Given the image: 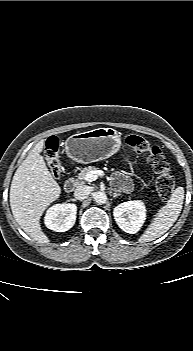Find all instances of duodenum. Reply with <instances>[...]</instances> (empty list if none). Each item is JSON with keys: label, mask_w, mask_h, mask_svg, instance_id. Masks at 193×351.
Returning <instances> with one entry per match:
<instances>
[{"label": "duodenum", "mask_w": 193, "mask_h": 351, "mask_svg": "<svg viewBox=\"0 0 193 351\" xmlns=\"http://www.w3.org/2000/svg\"><path fill=\"white\" fill-rule=\"evenodd\" d=\"M77 186V183L74 179L72 178H69L65 181V184H64V189L66 192L68 193H71L74 191V189L76 188Z\"/></svg>", "instance_id": "obj_1"}]
</instances>
